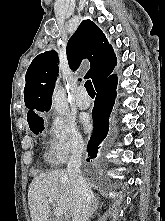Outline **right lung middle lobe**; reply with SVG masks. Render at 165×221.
Returning a JSON list of instances; mask_svg holds the SVG:
<instances>
[{"mask_svg": "<svg viewBox=\"0 0 165 221\" xmlns=\"http://www.w3.org/2000/svg\"><path fill=\"white\" fill-rule=\"evenodd\" d=\"M44 121L43 118H37L33 121L28 122L30 129L32 130V132H34L35 134H38L40 132H42L44 130V125H43Z\"/></svg>", "mask_w": 165, "mask_h": 221, "instance_id": "1", "label": "right lung middle lobe"}]
</instances>
